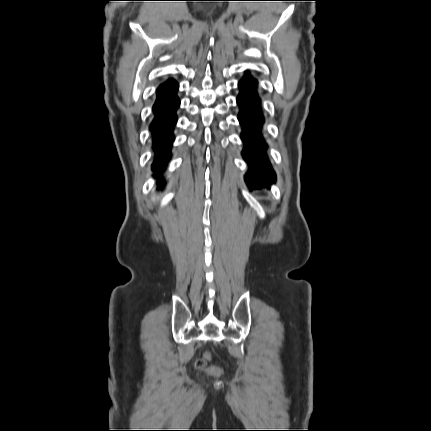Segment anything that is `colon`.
<instances>
[{
  "label": "colon",
  "mask_w": 431,
  "mask_h": 431,
  "mask_svg": "<svg viewBox=\"0 0 431 431\" xmlns=\"http://www.w3.org/2000/svg\"><path fill=\"white\" fill-rule=\"evenodd\" d=\"M206 361H207V357H203L202 359H200L198 361L197 366L198 367L204 366L206 364ZM210 372L212 374H219L220 373V371L218 369H215V368L211 369Z\"/></svg>",
  "instance_id": "obj_1"
}]
</instances>
